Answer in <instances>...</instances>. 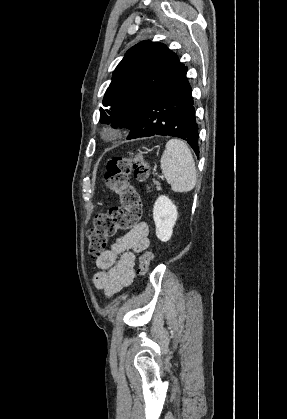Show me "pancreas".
Masks as SVG:
<instances>
[{"label": "pancreas", "mask_w": 287, "mask_h": 419, "mask_svg": "<svg viewBox=\"0 0 287 419\" xmlns=\"http://www.w3.org/2000/svg\"><path fill=\"white\" fill-rule=\"evenodd\" d=\"M156 188L159 189V183L155 182Z\"/></svg>", "instance_id": "1"}]
</instances>
